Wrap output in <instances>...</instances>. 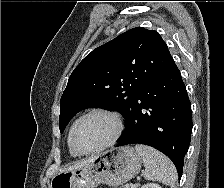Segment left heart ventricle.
Returning a JSON list of instances; mask_svg holds the SVG:
<instances>
[{"mask_svg":"<svg viewBox=\"0 0 224 188\" xmlns=\"http://www.w3.org/2000/svg\"><path fill=\"white\" fill-rule=\"evenodd\" d=\"M115 132L114 121L106 115L94 114L79 125L75 143L80 150L88 151L106 143Z\"/></svg>","mask_w":224,"mask_h":188,"instance_id":"1","label":"left heart ventricle"}]
</instances>
